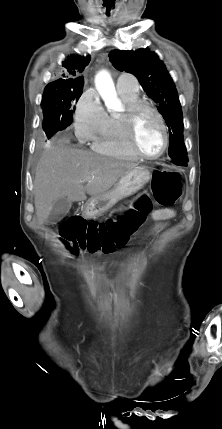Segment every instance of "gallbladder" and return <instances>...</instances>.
<instances>
[{
    "label": "gallbladder",
    "mask_w": 222,
    "mask_h": 429,
    "mask_svg": "<svg viewBox=\"0 0 222 429\" xmlns=\"http://www.w3.org/2000/svg\"><path fill=\"white\" fill-rule=\"evenodd\" d=\"M71 206L72 201H70L67 197H63L57 200L53 205V208L47 218V221L50 224H55L69 212Z\"/></svg>",
    "instance_id": "gallbladder-1"
}]
</instances>
